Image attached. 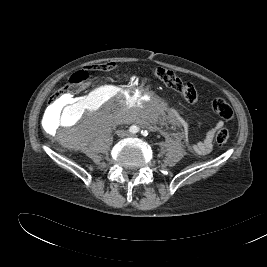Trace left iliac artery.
Returning <instances> with one entry per match:
<instances>
[{
  "mask_svg": "<svg viewBox=\"0 0 267 267\" xmlns=\"http://www.w3.org/2000/svg\"><path fill=\"white\" fill-rule=\"evenodd\" d=\"M141 134L144 136V137H146V136H148V131L147 130H142L141 131Z\"/></svg>",
  "mask_w": 267,
  "mask_h": 267,
  "instance_id": "44dca946",
  "label": "left iliac artery"
}]
</instances>
